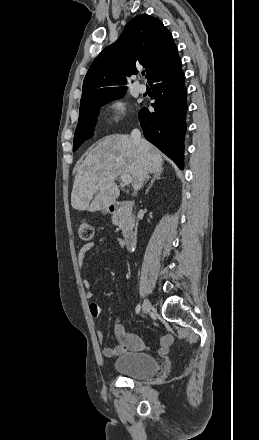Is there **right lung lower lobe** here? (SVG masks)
<instances>
[{
  "instance_id": "98d812e1",
  "label": "right lung lower lobe",
  "mask_w": 259,
  "mask_h": 440,
  "mask_svg": "<svg viewBox=\"0 0 259 440\" xmlns=\"http://www.w3.org/2000/svg\"><path fill=\"white\" fill-rule=\"evenodd\" d=\"M185 75L178 54L150 79L155 111L142 108L138 117L145 138L183 169V141L187 111Z\"/></svg>"
}]
</instances>
